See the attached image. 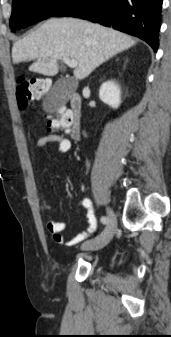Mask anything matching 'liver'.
<instances>
[{
	"instance_id": "obj_1",
	"label": "liver",
	"mask_w": 171,
	"mask_h": 337,
	"mask_svg": "<svg viewBox=\"0 0 171 337\" xmlns=\"http://www.w3.org/2000/svg\"><path fill=\"white\" fill-rule=\"evenodd\" d=\"M130 36L99 24L76 18H51L23 39L14 43L15 64L36 60L29 71L54 76L64 57L78 62L74 76L85 79L110 57L134 46Z\"/></svg>"
}]
</instances>
